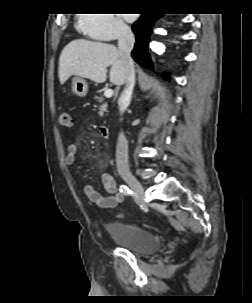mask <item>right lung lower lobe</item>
<instances>
[{
	"label": "right lung lower lobe",
	"instance_id": "right-lung-lower-lobe-1",
	"mask_svg": "<svg viewBox=\"0 0 252 303\" xmlns=\"http://www.w3.org/2000/svg\"><path fill=\"white\" fill-rule=\"evenodd\" d=\"M160 16L161 14L158 13H145L132 25V30L136 36V45L132 51V57L145 68H152L148 54V41L152 26Z\"/></svg>",
	"mask_w": 252,
	"mask_h": 303
}]
</instances>
